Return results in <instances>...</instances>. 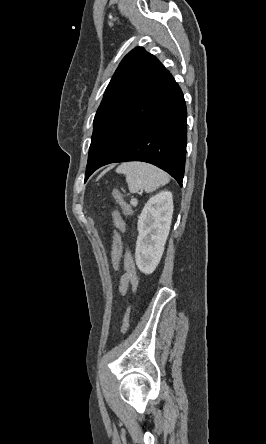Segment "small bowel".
<instances>
[{"label":"small bowel","mask_w":266,"mask_h":444,"mask_svg":"<svg viewBox=\"0 0 266 444\" xmlns=\"http://www.w3.org/2000/svg\"><path fill=\"white\" fill-rule=\"evenodd\" d=\"M124 269L125 273L120 281V291L122 293H125L129 286H131L133 290H135L137 287V277L135 275V270L131 255L129 253L125 254Z\"/></svg>","instance_id":"small-bowel-1"}]
</instances>
